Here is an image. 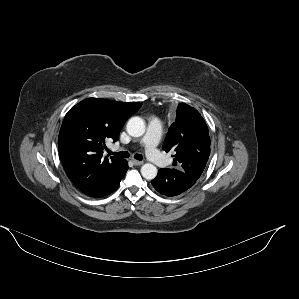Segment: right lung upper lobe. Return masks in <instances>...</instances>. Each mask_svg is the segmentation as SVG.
Instances as JSON below:
<instances>
[{"mask_svg":"<svg viewBox=\"0 0 299 299\" xmlns=\"http://www.w3.org/2000/svg\"><path fill=\"white\" fill-rule=\"evenodd\" d=\"M141 105L88 98L65 115L58 149L66 174L80 191L97 197L112 183L124 159L104 158L105 141H117L124 123Z\"/></svg>","mask_w":299,"mask_h":299,"instance_id":"right-lung-upper-lobe-1","label":"right lung upper lobe"}]
</instances>
